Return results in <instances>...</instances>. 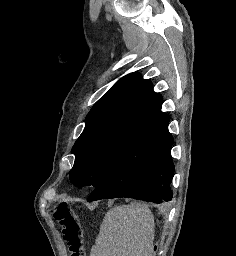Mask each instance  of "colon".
Instances as JSON below:
<instances>
[{
	"mask_svg": "<svg viewBox=\"0 0 236 256\" xmlns=\"http://www.w3.org/2000/svg\"><path fill=\"white\" fill-rule=\"evenodd\" d=\"M50 213L61 227L70 256H87L84 249L83 230L76 208L65 201H57Z\"/></svg>",
	"mask_w": 236,
	"mask_h": 256,
	"instance_id": "1",
	"label": "colon"
}]
</instances>
